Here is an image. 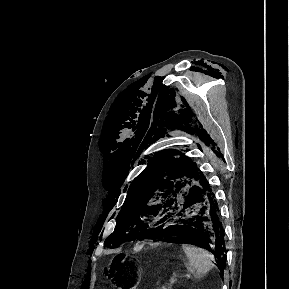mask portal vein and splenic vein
<instances>
[{
	"mask_svg": "<svg viewBox=\"0 0 289 289\" xmlns=\"http://www.w3.org/2000/svg\"><path fill=\"white\" fill-rule=\"evenodd\" d=\"M177 281H178V279L176 277H171L169 279V285L171 286V285L175 284Z\"/></svg>",
	"mask_w": 289,
	"mask_h": 289,
	"instance_id": "obj_1",
	"label": "portal vein and splenic vein"
}]
</instances>
